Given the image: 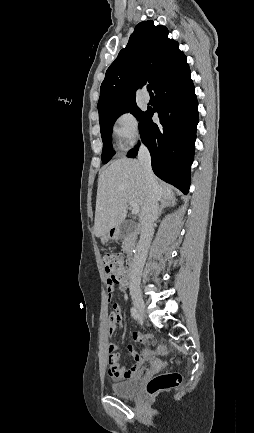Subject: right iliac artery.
Instances as JSON below:
<instances>
[{"mask_svg":"<svg viewBox=\"0 0 254 433\" xmlns=\"http://www.w3.org/2000/svg\"><path fill=\"white\" fill-rule=\"evenodd\" d=\"M131 316H132L135 320L138 319V317H139V314H138L137 310H136L134 307L131 308Z\"/></svg>","mask_w":254,"mask_h":433,"instance_id":"82829eb1","label":"right iliac artery"}]
</instances>
